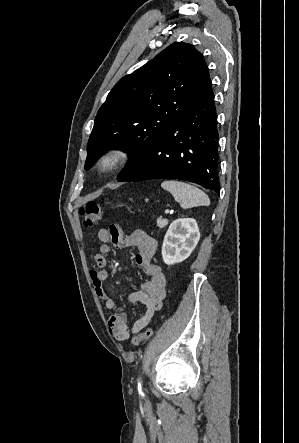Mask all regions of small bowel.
<instances>
[{
    "label": "small bowel",
    "instance_id": "obj_1",
    "mask_svg": "<svg viewBox=\"0 0 299 443\" xmlns=\"http://www.w3.org/2000/svg\"><path fill=\"white\" fill-rule=\"evenodd\" d=\"M101 242L98 253L94 256L97 266L91 271V279L96 294L103 301L105 309L112 311L116 303L103 287V282L109 277L107 255L112 248H137L136 263L142 268L149 280L143 283L141 290L131 293L128 300L131 304H141L145 313L137 319L131 329L128 326V316L124 312H113L108 319V329L111 336L117 341L127 340L131 334L141 331L151 320L153 315L162 308L166 294V276L161 267L152 262L157 250V241L140 229L125 234L119 223H113L98 231Z\"/></svg>",
    "mask_w": 299,
    "mask_h": 443
}]
</instances>
